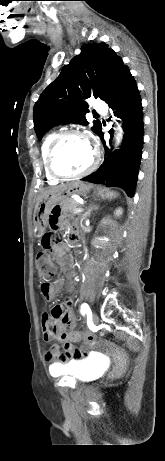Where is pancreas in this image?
<instances>
[{"instance_id": "pancreas-1", "label": "pancreas", "mask_w": 165, "mask_h": 461, "mask_svg": "<svg viewBox=\"0 0 165 461\" xmlns=\"http://www.w3.org/2000/svg\"><path fill=\"white\" fill-rule=\"evenodd\" d=\"M79 207V203L72 198H65L61 202V209L66 213H73Z\"/></svg>"}]
</instances>
